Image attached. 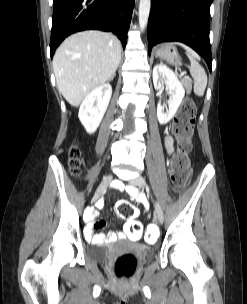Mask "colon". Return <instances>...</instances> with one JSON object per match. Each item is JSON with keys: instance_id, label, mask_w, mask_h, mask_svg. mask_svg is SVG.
<instances>
[{"instance_id": "5ec220e1", "label": "colon", "mask_w": 247, "mask_h": 304, "mask_svg": "<svg viewBox=\"0 0 247 304\" xmlns=\"http://www.w3.org/2000/svg\"><path fill=\"white\" fill-rule=\"evenodd\" d=\"M196 115V105L190 98H186L172 123V131L177 139L178 148L172 157L170 164V179L174 188H182L190 175L191 165L188 153L191 148V136ZM80 151L76 145L69 150V167L73 175L80 172ZM117 213L122 218L128 219L125 234L130 236L131 241H141L143 226L135 219L137 211L135 207L126 201L117 205ZM146 230L150 239L144 240L145 246H152L154 241L151 238H160L158 224H147ZM137 260L133 254L127 253L119 256L114 264V273L119 279H129L136 270Z\"/></svg>"}]
</instances>
